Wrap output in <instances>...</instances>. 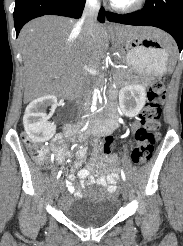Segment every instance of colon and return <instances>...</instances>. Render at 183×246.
<instances>
[{
    "mask_svg": "<svg viewBox=\"0 0 183 246\" xmlns=\"http://www.w3.org/2000/svg\"><path fill=\"white\" fill-rule=\"evenodd\" d=\"M166 98V89L160 79L153 80L148 88L147 102L144 110L139 116V125L135 132V146L132 151V160L135 164L141 165L152 156L154 146L160 138V124L162 119V106ZM123 126L119 125L115 133H109L106 138L104 157H116L113 151L114 139L118 135H123ZM28 152L39 163H44L47 159V149L38 143H33L25 139ZM117 157H122V152H117ZM116 190V189H115Z\"/></svg>",
    "mask_w": 183,
    "mask_h": 246,
    "instance_id": "colon-1",
    "label": "colon"
}]
</instances>
